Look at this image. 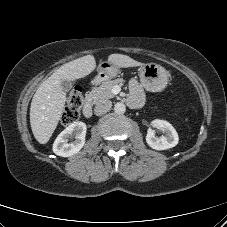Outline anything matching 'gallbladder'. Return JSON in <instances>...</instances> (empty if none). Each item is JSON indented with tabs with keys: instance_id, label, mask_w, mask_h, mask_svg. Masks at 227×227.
<instances>
[{
	"instance_id": "bac80fb5",
	"label": "gallbladder",
	"mask_w": 227,
	"mask_h": 227,
	"mask_svg": "<svg viewBox=\"0 0 227 227\" xmlns=\"http://www.w3.org/2000/svg\"><path fill=\"white\" fill-rule=\"evenodd\" d=\"M61 86H62L64 91H69L72 88V83L69 80H62Z\"/></svg>"
}]
</instances>
